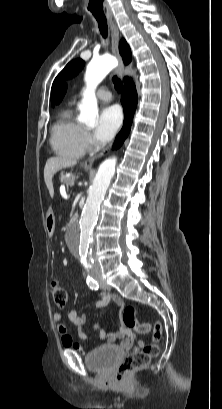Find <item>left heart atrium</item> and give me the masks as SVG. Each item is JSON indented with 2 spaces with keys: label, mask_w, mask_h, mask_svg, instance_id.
Wrapping results in <instances>:
<instances>
[{
  "label": "left heart atrium",
  "mask_w": 222,
  "mask_h": 409,
  "mask_svg": "<svg viewBox=\"0 0 222 409\" xmlns=\"http://www.w3.org/2000/svg\"><path fill=\"white\" fill-rule=\"evenodd\" d=\"M122 122V114L117 106L105 107L99 115L94 137L99 143H106L113 138Z\"/></svg>",
  "instance_id": "39dd6f15"
}]
</instances>
